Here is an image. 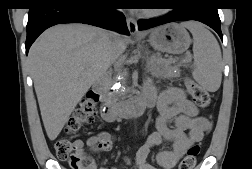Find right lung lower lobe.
I'll use <instances>...</instances> for the list:
<instances>
[{"label":"right lung lower lobe","instance_id":"98d812e1","mask_svg":"<svg viewBox=\"0 0 252 169\" xmlns=\"http://www.w3.org/2000/svg\"><path fill=\"white\" fill-rule=\"evenodd\" d=\"M116 0H36L29 8L26 54L36 38L60 23H84L129 35L123 14L115 11Z\"/></svg>","mask_w":252,"mask_h":169}]
</instances>
